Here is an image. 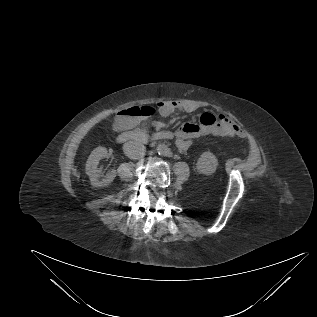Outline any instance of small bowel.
<instances>
[{
	"label": "small bowel",
	"instance_id": "1",
	"mask_svg": "<svg viewBox=\"0 0 317 317\" xmlns=\"http://www.w3.org/2000/svg\"><path fill=\"white\" fill-rule=\"evenodd\" d=\"M159 113L162 116H168L176 111L187 113L195 112L197 107L194 103L188 101H161L158 103ZM204 116L215 117L211 113H203L200 123H185L180 126L175 134L177 146L181 150H187L190 145V139L200 137L206 134L233 136L241 129L233 124L226 116L220 115L218 120L209 123L203 120ZM137 123L135 119L127 118L123 121L125 127H132Z\"/></svg>",
	"mask_w": 317,
	"mask_h": 317
}]
</instances>
